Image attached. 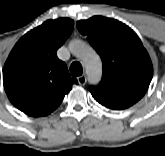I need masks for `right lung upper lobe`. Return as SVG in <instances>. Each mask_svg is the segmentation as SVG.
I'll return each instance as SVG.
<instances>
[{
  "label": "right lung upper lobe",
  "mask_w": 165,
  "mask_h": 156,
  "mask_svg": "<svg viewBox=\"0 0 165 156\" xmlns=\"http://www.w3.org/2000/svg\"><path fill=\"white\" fill-rule=\"evenodd\" d=\"M73 25L69 18L47 20L27 32L12 49L3 69V84L10 102L25 114H50L78 83L56 54Z\"/></svg>",
  "instance_id": "right-lung-upper-lobe-1"
}]
</instances>
